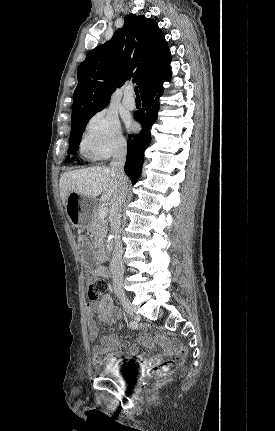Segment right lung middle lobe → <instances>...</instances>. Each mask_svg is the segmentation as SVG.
<instances>
[{"label": "right lung middle lobe", "instance_id": "right-lung-middle-lobe-1", "mask_svg": "<svg viewBox=\"0 0 275 431\" xmlns=\"http://www.w3.org/2000/svg\"><path fill=\"white\" fill-rule=\"evenodd\" d=\"M94 114L72 123L71 133H70V143H69V149H68L69 155L67 156L66 161L69 160L70 154H74L78 150L79 142L81 140L86 124Z\"/></svg>", "mask_w": 275, "mask_h": 431}]
</instances>
